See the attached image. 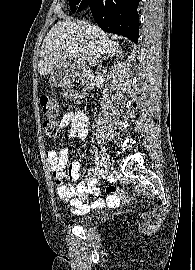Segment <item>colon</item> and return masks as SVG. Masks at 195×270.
I'll use <instances>...</instances> for the list:
<instances>
[{"label": "colon", "instance_id": "1", "mask_svg": "<svg viewBox=\"0 0 195 270\" xmlns=\"http://www.w3.org/2000/svg\"><path fill=\"white\" fill-rule=\"evenodd\" d=\"M85 83L80 78H69L62 83L64 95L74 101H80L85 91ZM42 111L48 118L44 122V129L48 136H55L59 129V123L56 120L58 108L56 102L47 95L40 99ZM64 187V185H62Z\"/></svg>", "mask_w": 195, "mask_h": 270}]
</instances>
